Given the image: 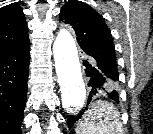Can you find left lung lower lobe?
I'll list each match as a JSON object with an SVG mask.
<instances>
[{
    "instance_id": "1",
    "label": "left lung lower lobe",
    "mask_w": 153,
    "mask_h": 134,
    "mask_svg": "<svg viewBox=\"0 0 153 134\" xmlns=\"http://www.w3.org/2000/svg\"><path fill=\"white\" fill-rule=\"evenodd\" d=\"M83 65L85 66V72L89 79L88 86L91 87L87 104H89L92 97L103 91H105L111 99L118 102V92L116 90L108 91L107 85L109 82L116 80L119 75L111 68H108L101 62L93 59L83 60ZM82 114L83 112L76 116H69V128L73 126V124L82 116Z\"/></svg>"
}]
</instances>
